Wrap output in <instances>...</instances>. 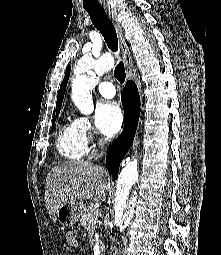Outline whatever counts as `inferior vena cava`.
<instances>
[{"mask_svg":"<svg viewBox=\"0 0 221 255\" xmlns=\"http://www.w3.org/2000/svg\"><path fill=\"white\" fill-rule=\"evenodd\" d=\"M101 156H103V154H101ZM110 255H118V249L116 246L113 248L111 247Z\"/></svg>","mask_w":221,"mask_h":255,"instance_id":"602c4592","label":"inferior vena cava"}]
</instances>
